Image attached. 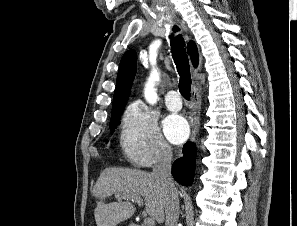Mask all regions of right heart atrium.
Masks as SVG:
<instances>
[{
    "instance_id": "obj_1",
    "label": "right heart atrium",
    "mask_w": 297,
    "mask_h": 226,
    "mask_svg": "<svg viewBox=\"0 0 297 226\" xmlns=\"http://www.w3.org/2000/svg\"><path fill=\"white\" fill-rule=\"evenodd\" d=\"M120 146L133 164L149 167L171 156V148L163 137L154 113L142 102L128 106L122 117Z\"/></svg>"
}]
</instances>
